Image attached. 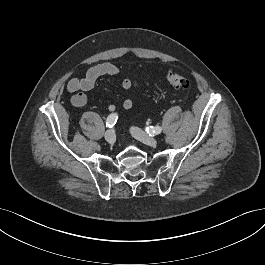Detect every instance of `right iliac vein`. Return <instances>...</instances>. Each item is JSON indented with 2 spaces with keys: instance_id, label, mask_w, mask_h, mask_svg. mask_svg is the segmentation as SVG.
Listing matches in <instances>:
<instances>
[{
  "instance_id": "1",
  "label": "right iliac vein",
  "mask_w": 265,
  "mask_h": 265,
  "mask_svg": "<svg viewBox=\"0 0 265 265\" xmlns=\"http://www.w3.org/2000/svg\"><path fill=\"white\" fill-rule=\"evenodd\" d=\"M105 140L110 143L113 144L116 140V135L115 132L112 129H109L106 131L105 133Z\"/></svg>"
}]
</instances>
